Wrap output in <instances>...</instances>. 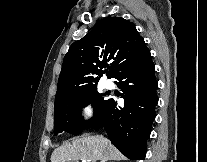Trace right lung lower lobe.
I'll return each mask as SVG.
<instances>
[{
  "label": "right lung lower lobe",
  "mask_w": 207,
  "mask_h": 162,
  "mask_svg": "<svg viewBox=\"0 0 207 162\" xmlns=\"http://www.w3.org/2000/svg\"><path fill=\"white\" fill-rule=\"evenodd\" d=\"M151 54L122 70L115 79L125 93L124 106L109 99L87 127H104L112 143L131 160H143L158 103Z\"/></svg>",
  "instance_id": "98d812e1"
}]
</instances>
